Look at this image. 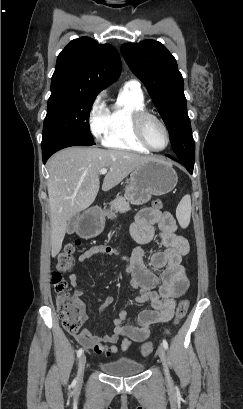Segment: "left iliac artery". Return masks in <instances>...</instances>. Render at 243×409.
Segmentation results:
<instances>
[{"label":"left iliac artery","mask_w":243,"mask_h":409,"mask_svg":"<svg viewBox=\"0 0 243 409\" xmlns=\"http://www.w3.org/2000/svg\"><path fill=\"white\" fill-rule=\"evenodd\" d=\"M162 345L166 350L168 349V343H167V341L165 339H163Z\"/></svg>","instance_id":"left-iliac-artery-1"}]
</instances>
